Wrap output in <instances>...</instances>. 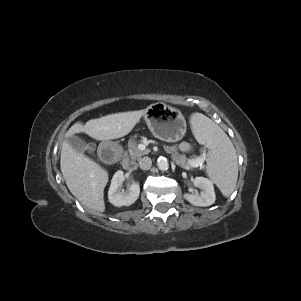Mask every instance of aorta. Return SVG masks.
<instances>
[{
  "label": "aorta",
  "instance_id": "obj_1",
  "mask_svg": "<svg viewBox=\"0 0 301 301\" xmlns=\"http://www.w3.org/2000/svg\"><path fill=\"white\" fill-rule=\"evenodd\" d=\"M157 166L162 171L167 170L169 168L168 159L163 156L159 157L157 160Z\"/></svg>",
  "mask_w": 301,
  "mask_h": 301
}]
</instances>
